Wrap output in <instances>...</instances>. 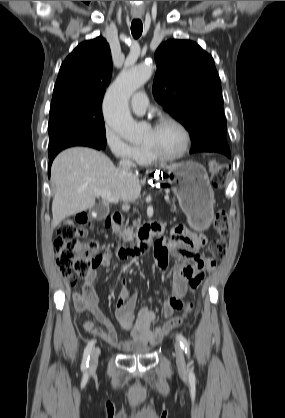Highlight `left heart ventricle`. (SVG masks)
Wrapping results in <instances>:
<instances>
[{"mask_svg":"<svg viewBox=\"0 0 285 418\" xmlns=\"http://www.w3.org/2000/svg\"><path fill=\"white\" fill-rule=\"evenodd\" d=\"M142 144L151 147L163 156H173L183 145V135L174 125L168 124L158 129L151 127Z\"/></svg>","mask_w":285,"mask_h":418,"instance_id":"left-heart-ventricle-1","label":"left heart ventricle"}]
</instances>
